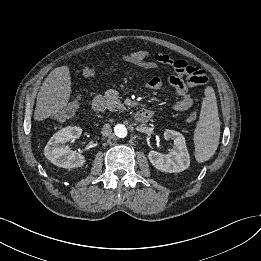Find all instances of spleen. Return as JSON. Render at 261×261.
<instances>
[{"label": "spleen", "instance_id": "1", "mask_svg": "<svg viewBox=\"0 0 261 261\" xmlns=\"http://www.w3.org/2000/svg\"><path fill=\"white\" fill-rule=\"evenodd\" d=\"M220 120L213 88L205 89L199 121L194 132L195 157L200 163L209 160L217 150Z\"/></svg>", "mask_w": 261, "mask_h": 261}]
</instances>
